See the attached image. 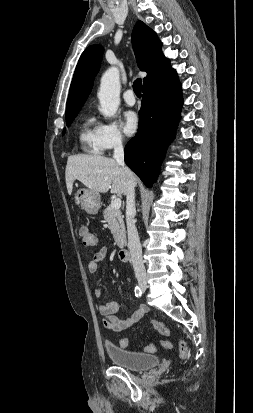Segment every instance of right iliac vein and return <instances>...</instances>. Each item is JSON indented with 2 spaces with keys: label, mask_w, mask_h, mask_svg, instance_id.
I'll return each instance as SVG.
<instances>
[{
  "label": "right iliac vein",
  "mask_w": 253,
  "mask_h": 413,
  "mask_svg": "<svg viewBox=\"0 0 253 413\" xmlns=\"http://www.w3.org/2000/svg\"><path fill=\"white\" fill-rule=\"evenodd\" d=\"M139 285L143 290L147 288V283L145 280H139Z\"/></svg>",
  "instance_id": "63e3f726"
}]
</instances>
